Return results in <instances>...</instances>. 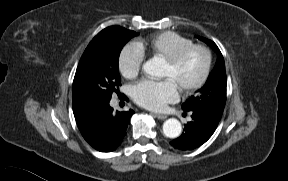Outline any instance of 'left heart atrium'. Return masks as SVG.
<instances>
[{"instance_id":"39dd6f15","label":"left heart atrium","mask_w":288,"mask_h":181,"mask_svg":"<svg viewBox=\"0 0 288 181\" xmlns=\"http://www.w3.org/2000/svg\"><path fill=\"white\" fill-rule=\"evenodd\" d=\"M135 102L147 109L159 111L178 97L177 87L170 79H143L132 87Z\"/></svg>"}]
</instances>
